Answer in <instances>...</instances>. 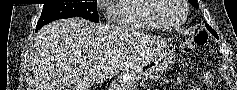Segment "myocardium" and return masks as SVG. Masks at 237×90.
<instances>
[{
  "label": "myocardium",
  "mask_w": 237,
  "mask_h": 90,
  "mask_svg": "<svg viewBox=\"0 0 237 90\" xmlns=\"http://www.w3.org/2000/svg\"><path fill=\"white\" fill-rule=\"evenodd\" d=\"M154 6L157 8H152L149 11L151 18H154L157 24L165 31H179L184 26L187 15H188V5L187 0H152ZM182 10V19L179 23L173 26L166 25L158 15H167V12H180Z\"/></svg>",
  "instance_id": "f54148a6"
}]
</instances>
